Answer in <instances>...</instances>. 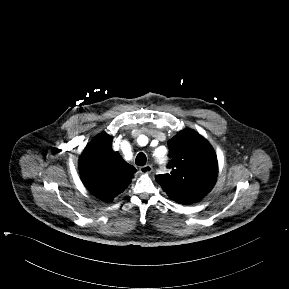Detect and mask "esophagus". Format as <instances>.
<instances>
[{"instance_id": "obj_1", "label": "esophagus", "mask_w": 289, "mask_h": 289, "mask_svg": "<svg viewBox=\"0 0 289 289\" xmlns=\"http://www.w3.org/2000/svg\"><path fill=\"white\" fill-rule=\"evenodd\" d=\"M139 170H140V173L142 174H150L153 168L151 165H145V166L140 167Z\"/></svg>"}]
</instances>
